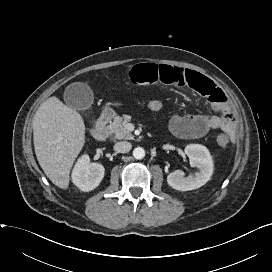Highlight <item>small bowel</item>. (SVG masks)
Returning <instances> with one entry per match:
<instances>
[{
	"label": "small bowel",
	"mask_w": 272,
	"mask_h": 272,
	"mask_svg": "<svg viewBox=\"0 0 272 272\" xmlns=\"http://www.w3.org/2000/svg\"><path fill=\"white\" fill-rule=\"evenodd\" d=\"M130 79L137 85H175L188 87L205 96L213 110L221 115H171L168 123L170 132L180 138L194 139L216 129L225 131L235 140V118L223 90L205 76L184 68L162 64L141 63L130 71Z\"/></svg>",
	"instance_id": "1"
}]
</instances>
